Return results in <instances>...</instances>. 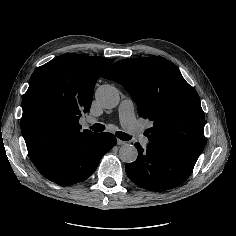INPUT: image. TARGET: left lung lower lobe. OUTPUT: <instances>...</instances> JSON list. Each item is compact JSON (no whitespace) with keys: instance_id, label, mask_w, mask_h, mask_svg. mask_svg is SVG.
Here are the masks:
<instances>
[{"instance_id":"1","label":"left lung lower lobe","mask_w":236,"mask_h":236,"mask_svg":"<svg viewBox=\"0 0 236 236\" xmlns=\"http://www.w3.org/2000/svg\"><path fill=\"white\" fill-rule=\"evenodd\" d=\"M138 157L126 165L127 176L139 187L164 191L181 185L190 176L196 161L169 147L149 142L146 149L135 144Z\"/></svg>"}]
</instances>
